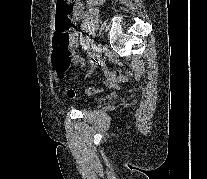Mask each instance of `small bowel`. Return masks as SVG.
<instances>
[{
    "instance_id": "1",
    "label": "small bowel",
    "mask_w": 207,
    "mask_h": 179,
    "mask_svg": "<svg viewBox=\"0 0 207 179\" xmlns=\"http://www.w3.org/2000/svg\"><path fill=\"white\" fill-rule=\"evenodd\" d=\"M103 1L104 0H87V4L90 9H94L99 5H101ZM75 15L77 16V18L82 19L83 24L85 23L83 6L79 2L75 6ZM70 36H71L70 46L73 50V61L76 65L83 66L84 60L75 52V48L78 45V34L76 32H72Z\"/></svg>"
}]
</instances>
